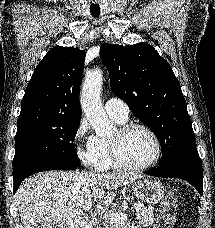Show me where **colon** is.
Wrapping results in <instances>:
<instances>
[{"instance_id": "5ec220e1", "label": "colon", "mask_w": 215, "mask_h": 228, "mask_svg": "<svg viewBox=\"0 0 215 228\" xmlns=\"http://www.w3.org/2000/svg\"><path fill=\"white\" fill-rule=\"evenodd\" d=\"M177 205L174 197L165 198L160 215L157 219V228H174L176 221Z\"/></svg>"}]
</instances>
